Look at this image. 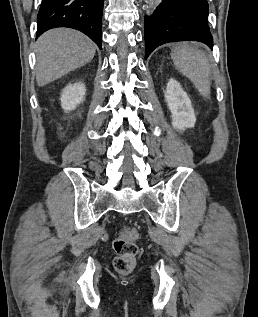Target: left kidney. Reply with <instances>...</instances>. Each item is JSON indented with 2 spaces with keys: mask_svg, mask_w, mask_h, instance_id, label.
I'll list each match as a JSON object with an SVG mask.
<instances>
[{
  "mask_svg": "<svg viewBox=\"0 0 258 317\" xmlns=\"http://www.w3.org/2000/svg\"><path fill=\"white\" fill-rule=\"evenodd\" d=\"M165 100L169 110H171L172 124L178 130H185V128H192L196 122L194 108L191 100L183 90L180 82L170 78L167 82L165 90Z\"/></svg>",
  "mask_w": 258,
  "mask_h": 317,
  "instance_id": "left-kidney-1",
  "label": "left kidney"
}]
</instances>
